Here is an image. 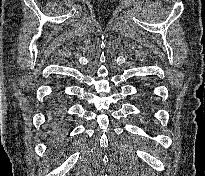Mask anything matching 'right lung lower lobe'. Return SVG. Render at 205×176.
Masks as SVG:
<instances>
[{
	"label": "right lung lower lobe",
	"mask_w": 205,
	"mask_h": 176,
	"mask_svg": "<svg viewBox=\"0 0 205 176\" xmlns=\"http://www.w3.org/2000/svg\"><path fill=\"white\" fill-rule=\"evenodd\" d=\"M59 115H54L53 116V119H52V124L53 126H56V124L58 123V119H59ZM52 144L53 146H58L60 144V139H59V136L58 135H54L53 139H52Z\"/></svg>",
	"instance_id": "obj_1"
}]
</instances>
